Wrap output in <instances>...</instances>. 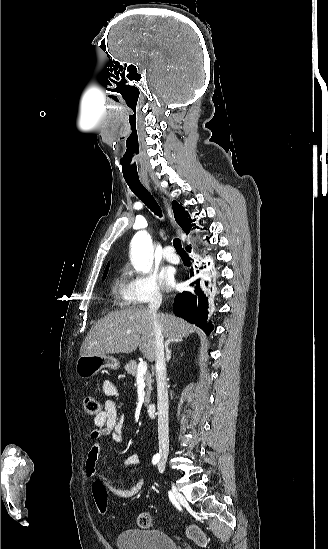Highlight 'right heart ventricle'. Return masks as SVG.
Here are the masks:
<instances>
[{
  "mask_svg": "<svg viewBox=\"0 0 328 549\" xmlns=\"http://www.w3.org/2000/svg\"><path fill=\"white\" fill-rule=\"evenodd\" d=\"M111 303H137L129 293L126 281L121 277H117L113 283Z\"/></svg>",
  "mask_w": 328,
  "mask_h": 549,
  "instance_id": "right-heart-ventricle-1",
  "label": "right heart ventricle"
}]
</instances>
